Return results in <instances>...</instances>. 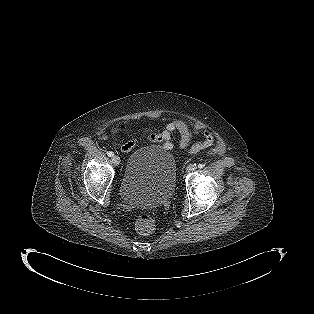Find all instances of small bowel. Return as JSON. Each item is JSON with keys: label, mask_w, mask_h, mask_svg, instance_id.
<instances>
[{"label": "small bowel", "mask_w": 314, "mask_h": 314, "mask_svg": "<svg viewBox=\"0 0 314 314\" xmlns=\"http://www.w3.org/2000/svg\"><path fill=\"white\" fill-rule=\"evenodd\" d=\"M199 130L200 128L191 127L184 121L175 119L168 122L161 131H147L143 133L142 137H135L128 140L121 146V152H130L142 140V138L150 142L161 143L162 148L169 151L173 148L172 134L174 132H178L179 134L180 147L182 149H187L190 146L193 134L197 133ZM203 135L204 138L192 147V153H196L213 145V133L210 130L205 129L203 130Z\"/></svg>", "instance_id": "obj_1"}]
</instances>
